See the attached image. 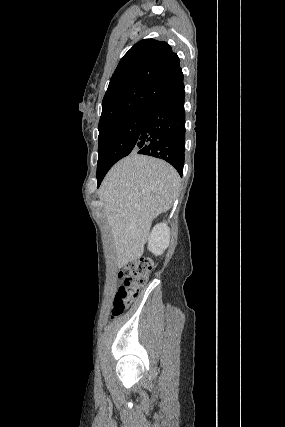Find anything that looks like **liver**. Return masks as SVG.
I'll use <instances>...</instances> for the list:
<instances>
[{
  "label": "liver",
  "mask_w": 285,
  "mask_h": 427,
  "mask_svg": "<svg viewBox=\"0 0 285 427\" xmlns=\"http://www.w3.org/2000/svg\"><path fill=\"white\" fill-rule=\"evenodd\" d=\"M180 176L167 162L136 152L117 162L99 190L121 268L144 252L153 220L169 210Z\"/></svg>",
  "instance_id": "1"
}]
</instances>
